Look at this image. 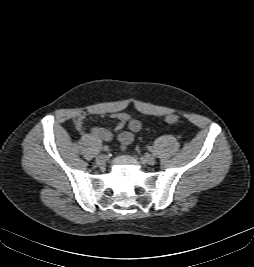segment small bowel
Instances as JSON below:
<instances>
[{"label":"small bowel","instance_id":"small-bowel-1","mask_svg":"<svg viewBox=\"0 0 254 267\" xmlns=\"http://www.w3.org/2000/svg\"><path fill=\"white\" fill-rule=\"evenodd\" d=\"M92 116L88 112H80L74 117V124L78 131L83 132L85 129V123ZM111 118L115 121V130L122 131L127 126L128 131H122L118 135V141L121 149L125 150L134 140L135 134L142 128L140 120L131 117L125 112H117L111 115ZM169 124V123H168ZM91 133L96 138L108 142L113 138V134L110 130L103 127H93Z\"/></svg>","mask_w":254,"mask_h":267}]
</instances>
